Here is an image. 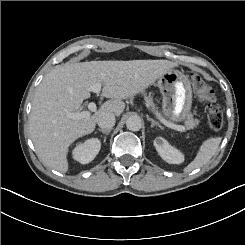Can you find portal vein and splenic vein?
I'll use <instances>...</instances> for the list:
<instances>
[{
	"mask_svg": "<svg viewBox=\"0 0 245 245\" xmlns=\"http://www.w3.org/2000/svg\"><path fill=\"white\" fill-rule=\"evenodd\" d=\"M88 90L99 94L101 91V83H96V84L88 87ZM88 109H89V111H82V112H75V113L69 112V113H67V116L73 120L87 118L90 116V111L91 112L96 111V109H97L96 104L94 102L89 103ZM156 116L161 121V123H163L167 127H170L172 129H175V130L180 131V132H184L186 130L183 125H175L173 123H170L167 120H165L164 118L160 117L159 114H156Z\"/></svg>",
	"mask_w": 245,
	"mask_h": 245,
	"instance_id": "obj_1",
	"label": "portal vein and splenic vein"
}]
</instances>
